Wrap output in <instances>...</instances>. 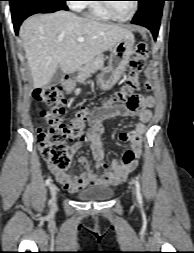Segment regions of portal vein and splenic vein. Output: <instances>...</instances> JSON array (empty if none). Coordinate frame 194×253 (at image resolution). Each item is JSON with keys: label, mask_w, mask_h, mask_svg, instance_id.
Instances as JSON below:
<instances>
[{"label": "portal vein and splenic vein", "mask_w": 194, "mask_h": 253, "mask_svg": "<svg viewBox=\"0 0 194 253\" xmlns=\"http://www.w3.org/2000/svg\"><path fill=\"white\" fill-rule=\"evenodd\" d=\"M84 40H85V39H84L83 37H79V38L77 39L78 42H84Z\"/></svg>", "instance_id": "18ae733b"}]
</instances>
